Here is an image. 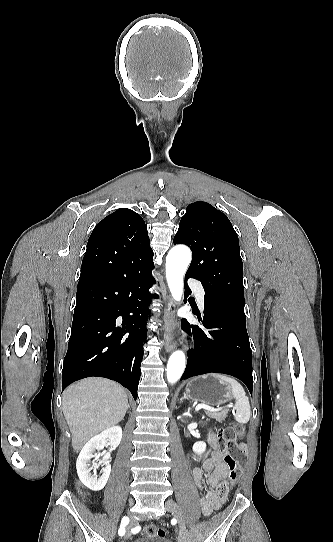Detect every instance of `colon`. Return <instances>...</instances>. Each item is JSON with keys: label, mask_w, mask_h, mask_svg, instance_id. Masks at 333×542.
<instances>
[{"label": "colon", "mask_w": 333, "mask_h": 542, "mask_svg": "<svg viewBox=\"0 0 333 542\" xmlns=\"http://www.w3.org/2000/svg\"><path fill=\"white\" fill-rule=\"evenodd\" d=\"M245 433V427L242 424H226L222 428H218L216 435V443L218 447L223 450H230L234 447V443L241 438ZM243 451L241 449H234L232 454H228L225 457V463L230 470L229 482L223 483L219 488V494L227 496L230 489L236 484L241 471H242V458ZM142 535L145 538L159 539L163 538L164 531L156 523H148L143 531Z\"/></svg>", "instance_id": "obj_1"}]
</instances>
